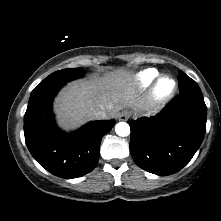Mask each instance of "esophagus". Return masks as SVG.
<instances>
[{
    "mask_svg": "<svg viewBox=\"0 0 221 221\" xmlns=\"http://www.w3.org/2000/svg\"><path fill=\"white\" fill-rule=\"evenodd\" d=\"M129 117H130V113L126 110L118 114V120L120 121H126Z\"/></svg>",
    "mask_w": 221,
    "mask_h": 221,
    "instance_id": "1",
    "label": "esophagus"
}]
</instances>
